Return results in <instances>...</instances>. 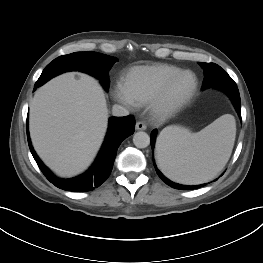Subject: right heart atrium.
<instances>
[{"mask_svg":"<svg viewBox=\"0 0 263 263\" xmlns=\"http://www.w3.org/2000/svg\"><path fill=\"white\" fill-rule=\"evenodd\" d=\"M114 95H115V98L121 103L128 104V105L133 104L126 93L124 85L121 83L116 85L115 90H114Z\"/></svg>","mask_w":263,"mask_h":263,"instance_id":"d8ad5b80","label":"right heart atrium"}]
</instances>
